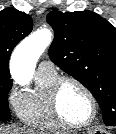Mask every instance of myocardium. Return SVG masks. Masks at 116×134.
I'll use <instances>...</instances> for the list:
<instances>
[{
  "instance_id": "1",
  "label": "myocardium",
  "mask_w": 116,
  "mask_h": 134,
  "mask_svg": "<svg viewBox=\"0 0 116 134\" xmlns=\"http://www.w3.org/2000/svg\"><path fill=\"white\" fill-rule=\"evenodd\" d=\"M71 83L76 86H78L83 92L88 96L91 106H92V113L91 116L82 123H75L70 120H68L62 113L60 108V93L64 85ZM49 98H50V105L52 112L56 119L64 126L69 128H85L90 126L97 118L98 115V103L97 100L92 93V91L81 81H79L76 78L73 77H58L54 83L52 84L49 92Z\"/></svg>"
}]
</instances>
